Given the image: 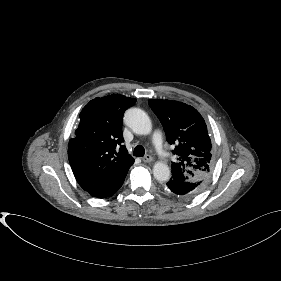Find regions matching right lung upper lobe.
Here are the masks:
<instances>
[{"instance_id": "cb5924a9", "label": "right lung upper lobe", "mask_w": 281, "mask_h": 281, "mask_svg": "<svg viewBox=\"0 0 281 281\" xmlns=\"http://www.w3.org/2000/svg\"><path fill=\"white\" fill-rule=\"evenodd\" d=\"M136 99L108 95L91 100L69 141L68 159L80 186L98 198L109 197L123 184L134 159L121 143L123 114Z\"/></svg>"}]
</instances>
